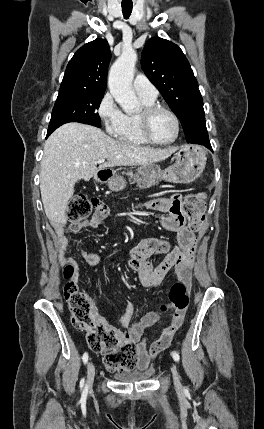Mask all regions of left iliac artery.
<instances>
[{
	"instance_id": "1",
	"label": "left iliac artery",
	"mask_w": 264,
	"mask_h": 429,
	"mask_svg": "<svg viewBox=\"0 0 264 429\" xmlns=\"http://www.w3.org/2000/svg\"><path fill=\"white\" fill-rule=\"evenodd\" d=\"M172 357H173V359H174L176 362H179V360H180V356H179V354H178L176 351H174V352L172 353Z\"/></svg>"
}]
</instances>
